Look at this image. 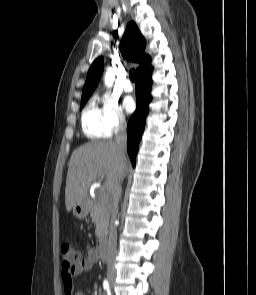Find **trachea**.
Here are the masks:
<instances>
[{"instance_id":"obj_1","label":"trachea","mask_w":256,"mask_h":295,"mask_svg":"<svg viewBox=\"0 0 256 295\" xmlns=\"http://www.w3.org/2000/svg\"><path fill=\"white\" fill-rule=\"evenodd\" d=\"M129 77H130V80L131 81H134L135 80V70L134 69H131L130 70Z\"/></svg>"}]
</instances>
